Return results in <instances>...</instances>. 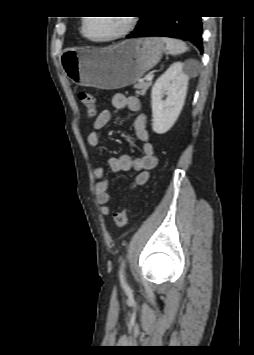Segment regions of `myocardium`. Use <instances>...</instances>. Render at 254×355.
Segmentation results:
<instances>
[{
    "mask_svg": "<svg viewBox=\"0 0 254 355\" xmlns=\"http://www.w3.org/2000/svg\"><path fill=\"white\" fill-rule=\"evenodd\" d=\"M124 17L127 20L125 27L120 32H118L117 34H115L111 37L103 38V39H95V38L88 36L85 31L88 18H85L82 22L81 33L87 40L94 42V43H107V42L119 40V39L127 36L135 28L136 23H137V19L134 15H128V16H124Z\"/></svg>",
    "mask_w": 254,
    "mask_h": 355,
    "instance_id": "1",
    "label": "myocardium"
}]
</instances>
